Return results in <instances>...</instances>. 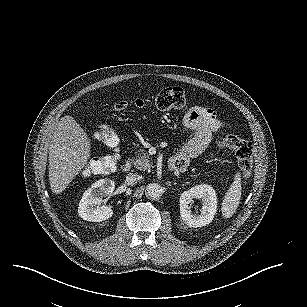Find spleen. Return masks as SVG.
<instances>
[{"label": "spleen", "instance_id": "spleen-1", "mask_svg": "<svg viewBox=\"0 0 307 307\" xmlns=\"http://www.w3.org/2000/svg\"><path fill=\"white\" fill-rule=\"evenodd\" d=\"M241 198V185H240V177L237 176L233 185L226 193V197L222 202V214L226 218L232 216L238 205Z\"/></svg>", "mask_w": 307, "mask_h": 307}]
</instances>
